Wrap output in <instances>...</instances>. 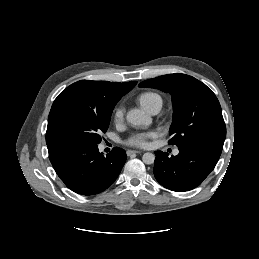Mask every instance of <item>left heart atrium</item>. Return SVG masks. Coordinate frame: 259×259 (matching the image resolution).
Instances as JSON below:
<instances>
[{
	"mask_svg": "<svg viewBox=\"0 0 259 259\" xmlns=\"http://www.w3.org/2000/svg\"><path fill=\"white\" fill-rule=\"evenodd\" d=\"M154 135L153 132L135 134L129 137L125 143L129 146L144 148L148 145L149 139L154 137Z\"/></svg>",
	"mask_w": 259,
	"mask_h": 259,
	"instance_id": "1",
	"label": "left heart atrium"
}]
</instances>
